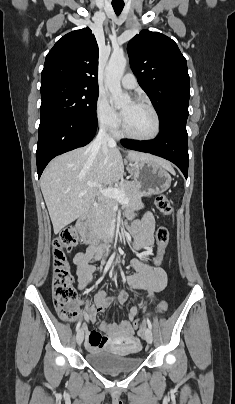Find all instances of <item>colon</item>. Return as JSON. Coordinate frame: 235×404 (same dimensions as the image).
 <instances>
[{"mask_svg": "<svg viewBox=\"0 0 235 404\" xmlns=\"http://www.w3.org/2000/svg\"><path fill=\"white\" fill-rule=\"evenodd\" d=\"M156 205L160 211L169 216L172 213V207L165 195H159L156 198ZM157 254L153 258V263L158 265L162 262L165 249L169 243V229L162 225L156 231ZM78 233L72 228H65L53 241V302L55 310L59 317L66 322H74L79 315L77 304V295L72 286V275L66 252L78 242ZM168 308L166 301H161L156 309V314L164 313ZM135 328H141L144 320L136 319ZM105 343L106 339L103 338Z\"/></svg>", "mask_w": 235, "mask_h": 404, "instance_id": "1", "label": "colon"}]
</instances>
